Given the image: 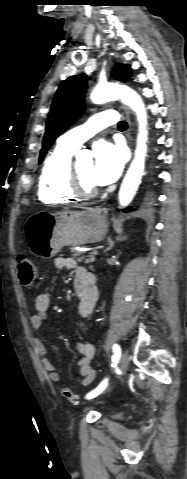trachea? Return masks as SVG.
Here are the masks:
<instances>
[{
	"mask_svg": "<svg viewBox=\"0 0 187 479\" xmlns=\"http://www.w3.org/2000/svg\"><path fill=\"white\" fill-rule=\"evenodd\" d=\"M119 129H126L127 128V123L125 121H120L118 124Z\"/></svg>",
	"mask_w": 187,
	"mask_h": 479,
	"instance_id": "1",
	"label": "trachea"
}]
</instances>
